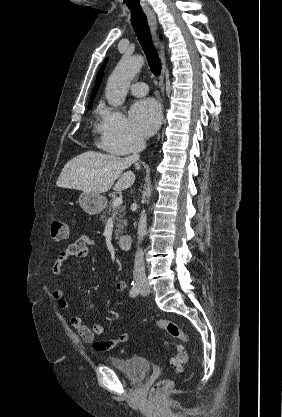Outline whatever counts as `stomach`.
Here are the masks:
<instances>
[{
    "instance_id": "0dacf381",
    "label": "stomach",
    "mask_w": 282,
    "mask_h": 417,
    "mask_svg": "<svg viewBox=\"0 0 282 417\" xmlns=\"http://www.w3.org/2000/svg\"><path fill=\"white\" fill-rule=\"evenodd\" d=\"M79 204L81 209L88 215H99L107 204L106 196L102 194H94V192H82L79 196Z\"/></svg>"
}]
</instances>
